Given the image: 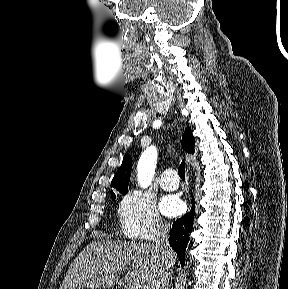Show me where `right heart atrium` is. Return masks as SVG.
Segmentation results:
<instances>
[{"label":"right heart atrium","mask_w":288,"mask_h":289,"mask_svg":"<svg viewBox=\"0 0 288 289\" xmlns=\"http://www.w3.org/2000/svg\"><path fill=\"white\" fill-rule=\"evenodd\" d=\"M119 219L123 234L137 241L154 240L168 228L154 200L139 190H132L122 198Z\"/></svg>","instance_id":"1"}]
</instances>
